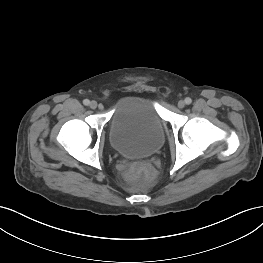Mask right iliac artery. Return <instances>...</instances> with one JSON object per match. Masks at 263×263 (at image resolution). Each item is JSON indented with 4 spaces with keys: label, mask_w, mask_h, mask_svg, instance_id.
<instances>
[{
    "label": "right iliac artery",
    "mask_w": 263,
    "mask_h": 263,
    "mask_svg": "<svg viewBox=\"0 0 263 263\" xmlns=\"http://www.w3.org/2000/svg\"><path fill=\"white\" fill-rule=\"evenodd\" d=\"M83 104L86 105V106H88V105L90 104V101H89L88 99H85V100L83 101Z\"/></svg>",
    "instance_id": "obj_1"
}]
</instances>
